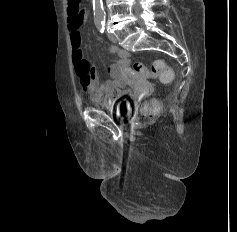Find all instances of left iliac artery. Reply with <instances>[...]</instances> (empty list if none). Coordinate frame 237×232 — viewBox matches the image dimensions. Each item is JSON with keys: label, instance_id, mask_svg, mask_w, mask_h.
Here are the masks:
<instances>
[{"label": "left iliac artery", "instance_id": "obj_1", "mask_svg": "<svg viewBox=\"0 0 237 232\" xmlns=\"http://www.w3.org/2000/svg\"><path fill=\"white\" fill-rule=\"evenodd\" d=\"M97 28H98V30H99L101 33H103L104 30H105V27H104V24H103V23H102V24H98V25H97Z\"/></svg>", "mask_w": 237, "mask_h": 232}]
</instances>
